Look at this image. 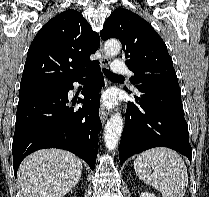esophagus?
<instances>
[{
  "mask_svg": "<svg viewBox=\"0 0 209 197\" xmlns=\"http://www.w3.org/2000/svg\"><path fill=\"white\" fill-rule=\"evenodd\" d=\"M100 50L102 52V58H101V61H100L101 65L103 67H108L109 64H110V60H109L108 56L103 53L102 44L100 46ZM99 114H100L101 122L104 123L107 120V118H108L109 112L103 106H101Z\"/></svg>",
  "mask_w": 209,
  "mask_h": 197,
  "instance_id": "obj_1",
  "label": "esophagus"
}]
</instances>
